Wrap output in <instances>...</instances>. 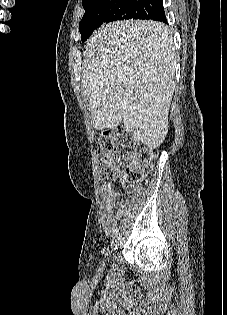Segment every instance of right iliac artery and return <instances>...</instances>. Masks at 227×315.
Here are the masks:
<instances>
[{
  "label": "right iliac artery",
  "instance_id": "1",
  "mask_svg": "<svg viewBox=\"0 0 227 315\" xmlns=\"http://www.w3.org/2000/svg\"><path fill=\"white\" fill-rule=\"evenodd\" d=\"M113 235H114V236H117V235H118V228H114V229H113Z\"/></svg>",
  "mask_w": 227,
  "mask_h": 315
}]
</instances>
